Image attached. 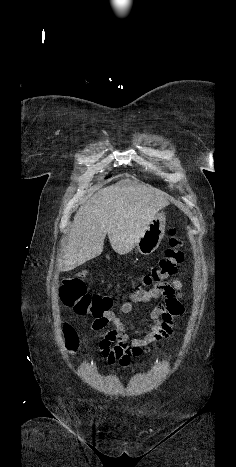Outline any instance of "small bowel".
<instances>
[{"label": "small bowel", "instance_id": "obj_1", "mask_svg": "<svg viewBox=\"0 0 236 467\" xmlns=\"http://www.w3.org/2000/svg\"><path fill=\"white\" fill-rule=\"evenodd\" d=\"M160 296L164 298V303L153 306L150 313L152 324L142 337L129 338L123 321L111 311L94 319L92 328L96 331L104 330L109 324L113 325V329L106 332L99 343L100 354L108 364L118 363L122 367H127L132 358L143 354L146 347L173 334L176 318L184 313L181 304L182 283L178 279H173L160 288L131 293L128 300L122 304L121 310L125 314H130L134 303L150 302ZM114 342L116 345L111 347Z\"/></svg>", "mask_w": 236, "mask_h": 467}]
</instances>
